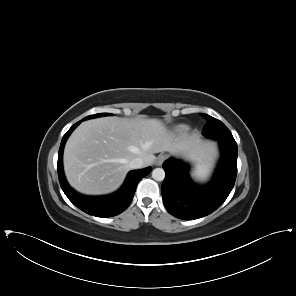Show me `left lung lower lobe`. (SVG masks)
Segmentation results:
<instances>
[{
    "label": "left lung lower lobe",
    "instance_id": "0a47b994",
    "mask_svg": "<svg viewBox=\"0 0 296 296\" xmlns=\"http://www.w3.org/2000/svg\"><path fill=\"white\" fill-rule=\"evenodd\" d=\"M221 161L207 186L194 184L182 162L169 159L163 163L166 176L161 192L163 202L173 216L197 219L215 211L230 194L237 175V144L235 140L219 141Z\"/></svg>",
    "mask_w": 296,
    "mask_h": 296
}]
</instances>
